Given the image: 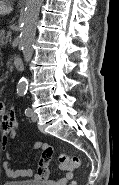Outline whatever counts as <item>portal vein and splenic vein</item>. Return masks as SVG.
Wrapping results in <instances>:
<instances>
[{
    "mask_svg": "<svg viewBox=\"0 0 119 185\" xmlns=\"http://www.w3.org/2000/svg\"><path fill=\"white\" fill-rule=\"evenodd\" d=\"M12 33L10 31L7 32V38H11Z\"/></svg>",
    "mask_w": 119,
    "mask_h": 185,
    "instance_id": "obj_1",
    "label": "portal vein and splenic vein"
}]
</instances>
